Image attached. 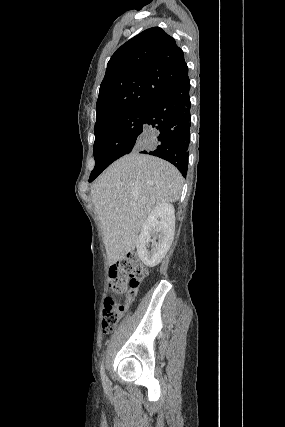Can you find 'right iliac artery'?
Here are the masks:
<instances>
[{"label": "right iliac artery", "instance_id": "1", "mask_svg": "<svg viewBox=\"0 0 285 427\" xmlns=\"http://www.w3.org/2000/svg\"><path fill=\"white\" fill-rule=\"evenodd\" d=\"M101 377H102L103 384L106 385V382L108 381V378H107V376H106V374L104 372L103 362L101 364Z\"/></svg>", "mask_w": 285, "mask_h": 427}]
</instances>
